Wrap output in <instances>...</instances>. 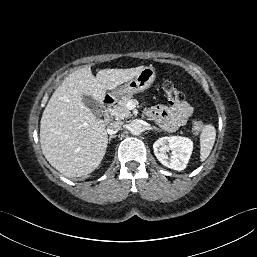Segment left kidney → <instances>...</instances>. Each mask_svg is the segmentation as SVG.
Masks as SVG:
<instances>
[{
  "mask_svg": "<svg viewBox=\"0 0 257 257\" xmlns=\"http://www.w3.org/2000/svg\"><path fill=\"white\" fill-rule=\"evenodd\" d=\"M153 150L156 158L164 166L182 171L190 159L193 142L189 138L181 136L162 137L154 142ZM169 150L172 151L170 157L167 154Z\"/></svg>",
  "mask_w": 257,
  "mask_h": 257,
  "instance_id": "obj_1",
  "label": "left kidney"
}]
</instances>
